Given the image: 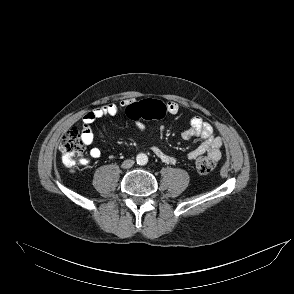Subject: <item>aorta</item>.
I'll return each mask as SVG.
<instances>
[{
    "instance_id": "aorta-1",
    "label": "aorta",
    "mask_w": 294,
    "mask_h": 294,
    "mask_svg": "<svg viewBox=\"0 0 294 294\" xmlns=\"http://www.w3.org/2000/svg\"><path fill=\"white\" fill-rule=\"evenodd\" d=\"M136 162L138 165H145L148 162V156L144 153H139L136 156Z\"/></svg>"
}]
</instances>
